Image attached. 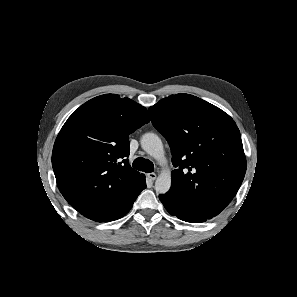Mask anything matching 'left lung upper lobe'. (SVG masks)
Listing matches in <instances>:
<instances>
[{
	"label": "left lung upper lobe",
	"instance_id": "left-lung-upper-lobe-1",
	"mask_svg": "<svg viewBox=\"0 0 297 297\" xmlns=\"http://www.w3.org/2000/svg\"><path fill=\"white\" fill-rule=\"evenodd\" d=\"M154 127L168 141L171 188L184 207L211 219L236 195L246 172L241 136L218 107L189 94H176L149 108Z\"/></svg>",
	"mask_w": 297,
	"mask_h": 297
}]
</instances>
